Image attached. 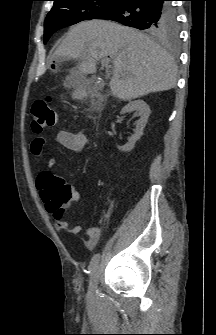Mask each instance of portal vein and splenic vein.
<instances>
[{"label": "portal vein and splenic vein", "mask_w": 216, "mask_h": 335, "mask_svg": "<svg viewBox=\"0 0 216 335\" xmlns=\"http://www.w3.org/2000/svg\"><path fill=\"white\" fill-rule=\"evenodd\" d=\"M109 64V60L108 59H103L102 60V65L103 66H107Z\"/></svg>", "instance_id": "18ae733b"}]
</instances>
